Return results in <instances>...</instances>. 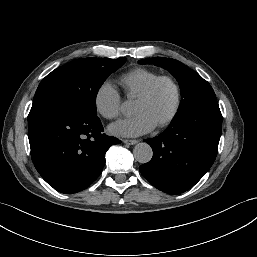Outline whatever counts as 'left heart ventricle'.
Here are the masks:
<instances>
[{"instance_id": "left-heart-ventricle-1", "label": "left heart ventricle", "mask_w": 257, "mask_h": 257, "mask_svg": "<svg viewBox=\"0 0 257 257\" xmlns=\"http://www.w3.org/2000/svg\"><path fill=\"white\" fill-rule=\"evenodd\" d=\"M175 93L172 85L162 81L146 100H135L134 113H143L150 118L156 126L165 120L174 107Z\"/></svg>"}]
</instances>
